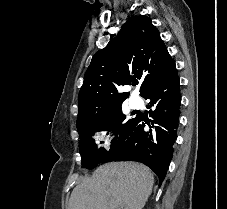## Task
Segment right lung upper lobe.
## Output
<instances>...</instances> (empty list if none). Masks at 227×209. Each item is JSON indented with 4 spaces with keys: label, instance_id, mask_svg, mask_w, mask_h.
<instances>
[{
    "label": "right lung upper lobe",
    "instance_id": "1",
    "mask_svg": "<svg viewBox=\"0 0 227 209\" xmlns=\"http://www.w3.org/2000/svg\"><path fill=\"white\" fill-rule=\"evenodd\" d=\"M173 62L151 19L132 16L120 34L93 56L78 96V118L100 114L109 99H126L129 92L118 93L117 88L135 78L142 81L144 96L157 70Z\"/></svg>",
    "mask_w": 227,
    "mask_h": 209
}]
</instances>
